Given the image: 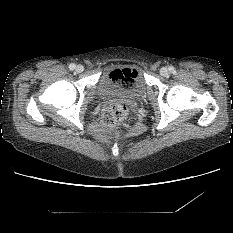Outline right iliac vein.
<instances>
[{
  "mask_svg": "<svg viewBox=\"0 0 233 233\" xmlns=\"http://www.w3.org/2000/svg\"><path fill=\"white\" fill-rule=\"evenodd\" d=\"M83 70H84V67H83L82 65H77L76 68H75V71H76L77 73H80V72H82Z\"/></svg>",
  "mask_w": 233,
  "mask_h": 233,
  "instance_id": "obj_1",
  "label": "right iliac vein"
}]
</instances>
